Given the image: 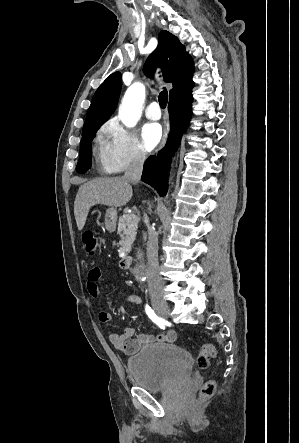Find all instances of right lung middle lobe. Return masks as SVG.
<instances>
[{
    "label": "right lung middle lobe",
    "mask_w": 299,
    "mask_h": 443,
    "mask_svg": "<svg viewBox=\"0 0 299 443\" xmlns=\"http://www.w3.org/2000/svg\"><path fill=\"white\" fill-rule=\"evenodd\" d=\"M99 126L87 130L82 134L81 145H80V158L77 164L76 170L79 173H85L91 167V156L92 147L91 140L95 136Z\"/></svg>",
    "instance_id": "dd1d6c3e"
}]
</instances>
